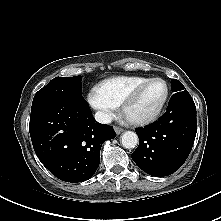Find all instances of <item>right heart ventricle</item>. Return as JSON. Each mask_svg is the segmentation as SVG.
Segmentation results:
<instances>
[{
  "label": "right heart ventricle",
  "mask_w": 221,
  "mask_h": 221,
  "mask_svg": "<svg viewBox=\"0 0 221 221\" xmlns=\"http://www.w3.org/2000/svg\"><path fill=\"white\" fill-rule=\"evenodd\" d=\"M149 78L140 76H122L107 79L98 87L117 106L122 105L127 96Z\"/></svg>",
  "instance_id": "e07e8e85"
}]
</instances>
